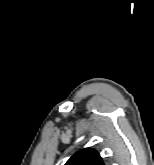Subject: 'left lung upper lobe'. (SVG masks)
<instances>
[{"mask_svg": "<svg viewBox=\"0 0 154 165\" xmlns=\"http://www.w3.org/2000/svg\"><path fill=\"white\" fill-rule=\"evenodd\" d=\"M65 165H104L100 155L93 149L85 148L75 153Z\"/></svg>", "mask_w": 154, "mask_h": 165, "instance_id": "5c2ea615", "label": "left lung upper lobe"}]
</instances>
